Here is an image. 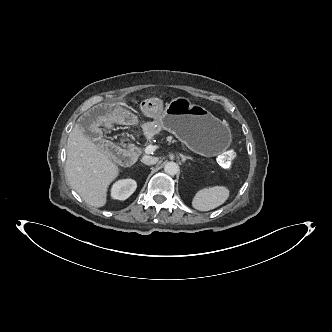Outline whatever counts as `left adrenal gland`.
<instances>
[{
  "label": "left adrenal gland",
  "mask_w": 332,
  "mask_h": 332,
  "mask_svg": "<svg viewBox=\"0 0 332 332\" xmlns=\"http://www.w3.org/2000/svg\"><path fill=\"white\" fill-rule=\"evenodd\" d=\"M179 155H180V157H181L183 163H185L186 160H192V158L189 157V156H185V155H183V154H179Z\"/></svg>",
  "instance_id": "1"
}]
</instances>
